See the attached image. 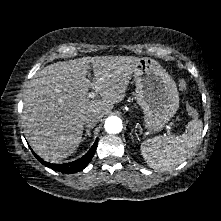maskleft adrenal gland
<instances>
[{"instance_id":"left-adrenal-gland-1","label":"left adrenal gland","mask_w":221,"mask_h":221,"mask_svg":"<svg viewBox=\"0 0 221 221\" xmlns=\"http://www.w3.org/2000/svg\"><path fill=\"white\" fill-rule=\"evenodd\" d=\"M132 132H133V130L130 132V136H131V138L133 137Z\"/></svg>"}]
</instances>
